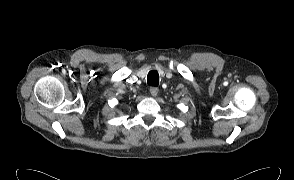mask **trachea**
I'll return each instance as SVG.
<instances>
[{
    "label": "trachea",
    "mask_w": 294,
    "mask_h": 180,
    "mask_svg": "<svg viewBox=\"0 0 294 180\" xmlns=\"http://www.w3.org/2000/svg\"><path fill=\"white\" fill-rule=\"evenodd\" d=\"M147 83L150 86H158L159 84V74L157 71L152 70L148 73Z\"/></svg>",
    "instance_id": "obj_1"
}]
</instances>
